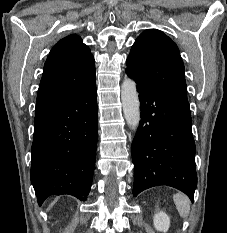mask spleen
Instances as JSON below:
<instances>
[{
  "label": "spleen",
  "mask_w": 227,
  "mask_h": 233,
  "mask_svg": "<svg viewBox=\"0 0 227 233\" xmlns=\"http://www.w3.org/2000/svg\"><path fill=\"white\" fill-rule=\"evenodd\" d=\"M174 203L176 208L182 218H186L190 212V200L189 198L182 194L178 193L173 196Z\"/></svg>",
  "instance_id": "spleen-1"
}]
</instances>
